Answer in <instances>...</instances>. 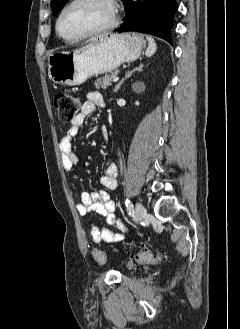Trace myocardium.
Here are the masks:
<instances>
[{"mask_svg":"<svg viewBox=\"0 0 240 329\" xmlns=\"http://www.w3.org/2000/svg\"><path fill=\"white\" fill-rule=\"evenodd\" d=\"M81 0H71L68 4H66L61 11L59 12V15L57 17L56 20V24H55V28H56V32L58 33V35L66 42H77V41H81L93 36H97V35H101L104 33H107L113 29H115L118 24H119V15H118V10H117V6L115 3V0H105V2L110 6L111 11H112V20L111 22L99 29L90 31L88 33H85L83 35L77 36V37H66L60 29V23L62 20L63 15L65 14V12L71 8L73 5H75L76 3L80 2Z\"/></svg>","mask_w":240,"mask_h":329,"instance_id":"f54148a6","label":"myocardium"}]
</instances>
